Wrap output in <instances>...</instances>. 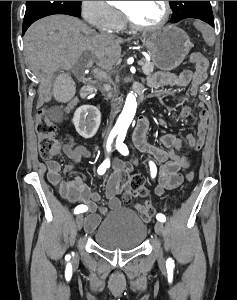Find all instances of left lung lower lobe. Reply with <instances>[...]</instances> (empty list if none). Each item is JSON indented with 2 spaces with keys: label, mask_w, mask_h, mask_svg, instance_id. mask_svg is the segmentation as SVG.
<instances>
[{
  "label": "left lung lower lobe",
  "mask_w": 237,
  "mask_h": 300,
  "mask_svg": "<svg viewBox=\"0 0 237 300\" xmlns=\"http://www.w3.org/2000/svg\"><path fill=\"white\" fill-rule=\"evenodd\" d=\"M207 23L214 27V19L208 20Z\"/></svg>",
  "instance_id": "0a47b994"
}]
</instances>
